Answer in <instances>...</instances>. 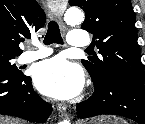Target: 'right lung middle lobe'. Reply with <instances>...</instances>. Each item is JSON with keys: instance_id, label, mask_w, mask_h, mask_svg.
Listing matches in <instances>:
<instances>
[{"instance_id": "obj_1", "label": "right lung middle lobe", "mask_w": 145, "mask_h": 124, "mask_svg": "<svg viewBox=\"0 0 145 124\" xmlns=\"http://www.w3.org/2000/svg\"><path fill=\"white\" fill-rule=\"evenodd\" d=\"M19 55L9 54L3 51H0V68L11 71L15 74H20L21 71L13 63V59Z\"/></svg>"}]
</instances>
